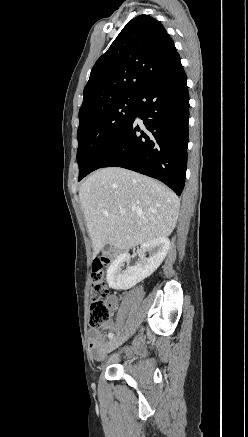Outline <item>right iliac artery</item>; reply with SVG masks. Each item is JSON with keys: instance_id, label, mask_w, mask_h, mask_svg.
<instances>
[{"instance_id": "82829eb1", "label": "right iliac artery", "mask_w": 248, "mask_h": 437, "mask_svg": "<svg viewBox=\"0 0 248 437\" xmlns=\"http://www.w3.org/2000/svg\"><path fill=\"white\" fill-rule=\"evenodd\" d=\"M108 337H109L110 339H112V338L114 337V334H113V333H109V334H108Z\"/></svg>"}]
</instances>
